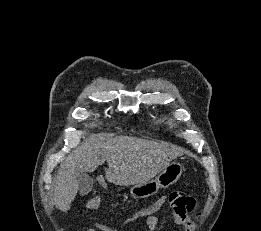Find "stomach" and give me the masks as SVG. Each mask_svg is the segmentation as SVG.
Masks as SVG:
<instances>
[{"instance_id":"stomach-1","label":"stomach","mask_w":261,"mask_h":231,"mask_svg":"<svg viewBox=\"0 0 261 231\" xmlns=\"http://www.w3.org/2000/svg\"><path fill=\"white\" fill-rule=\"evenodd\" d=\"M183 172V166L178 161L170 162L155 179L145 183L134 184L130 193L133 198H147L158 192L160 188H167L176 183Z\"/></svg>"}]
</instances>
